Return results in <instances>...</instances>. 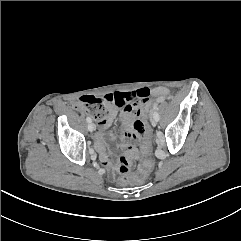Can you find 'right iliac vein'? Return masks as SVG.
Listing matches in <instances>:
<instances>
[{
  "label": "right iliac vein",
  "mask_w": 241,
  "mask_h": 241,
  "mask_svg": "<svg viewBox=\"0 0 241 241\" xmlns=\"http://www.w3.org/2000/svg\"><path fill=\"white\" fill-rule=\"evenodd\" d=\"M95 129H96L95 124L92 123V122H90V123L88 124V130H89L90 132H93Z\"/></svg>",
  "instance_id": "right-iliac-vein-1"
}]
</instances>
